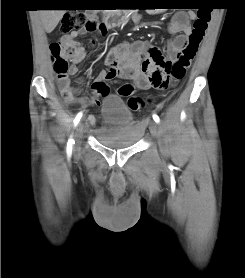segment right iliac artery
<instances>
[{
	"instance_id": "82829eb1",
	"label": "right iliac artery",
	"mask_w": 245,
	"mask_h": 278,
	"mask_svg": "<svg viewBox=\"0 0 245 278\" xmlns=\"http://www.w3.org/2000/svg\"><path fill=\"white\" fill-rule=\"evenodd\" d=\"M82 117V112L78 113L75 120H74V126H76L78 124V122L80 121ZM75 143V141L73 140L72 136L69 138L68 143H67V153L70 154L72 153V146Z\"/></svg>"
}]
</instances>
